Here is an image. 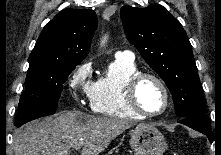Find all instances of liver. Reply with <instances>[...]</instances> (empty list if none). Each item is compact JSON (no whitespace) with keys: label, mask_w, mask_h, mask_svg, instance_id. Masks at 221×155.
<instances>
[{"label":"liver","mask_w":221,"mask_h":155,"mask_svg":"<svg viewBox=\"0 0 221 155\" xmlns=\"http://www.w3.org/2000/svg\"><path fill=\"white\" fill-rule=\"evenodd\" d=\"M134 121L63 112L27 124L14 135L15 155H70L81 145V155H99L112 140L134 126Z\"/></svg>","instance_id":"liver-1"}]
</instances>
